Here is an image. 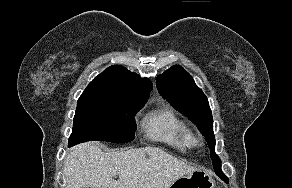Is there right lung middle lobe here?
Listing matches in <instances>:
<instances>
[{"label":"right lung middle lobe","mask_w":292,"mask_h":188,"mask_svg":"<svg viewBox=\"0 0 292 188\" xmlns=\"http://www.w3.org/2000/svg\"><path fill=\"white\" fill-rule=\"evenodd\" d=\"M146 101L121 91L87 87L77 102L69 146L89 140H133L137 128L134 116Z\"/></svg>","instance_id":"1"}]
</instances>
